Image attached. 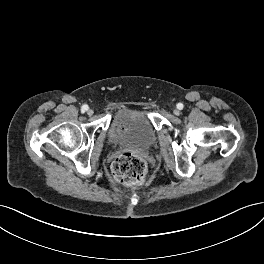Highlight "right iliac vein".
<instances>
[{"instance_id": "63e3f726", "label": "right iliac vein", "mask_w": 264, "mask_h": 264, "mask_svg": "<svg viewBox=\"0 0 264 264\" xmlns=\"http://www.w3.org/2000/svg\"><path fill=\"white\" fill-rule=\"evenodd\" d=\"M93 113H94V111H93L92 109H89V110L87 111V114H88L89 116L93 115Z\"/></svg>"}]
</instances>
